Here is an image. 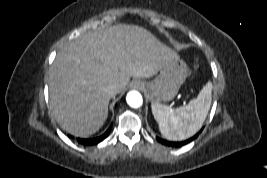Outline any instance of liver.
Segmentation results:
<instances>
[{
	"instance_id": "obj_1",
	"label": "liver",
	"mask_w": 267,
	"mask_h": 178,
	"mask_svg": "<svg viewBox=\"0 0 267 178\" xmlns=\"http://www.w3.org/2000/svg\"><path fill=\"white\" fill-rule=\"evenodd\" d=\"M177 54L146 29L119 24L81 34L58 53L49 72L50 108L63 130L78 137L97 132L111 97L130 78H150Z\"/></svg>"
}]
</instances>
